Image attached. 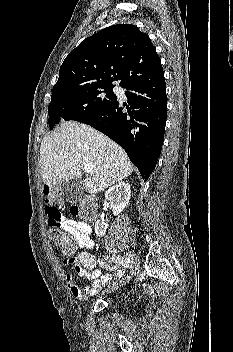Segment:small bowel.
<instances>
[{"label":"small bowel","mask_w":233,"mask_h":352,"mask_svg":"<svg viewBox=\"0 0 233 352\" xmlns=\"http://www.w3.org/2000/svg\"><path fill=\"white\" fill-rule=\"evenodd\" d=\"M44 193L50 197L52 190L45 186ZM44 210L48 225L56 226L70 234L77 247L83 249H92L94 247V240L91 235L92 228L88 223L62 214L50 200L46 203ZM97 263L99 267H95V259L87 251L79 253L76 259L66 258L64 260V265L68 268L65 274V281L75 298L87 300L96 295L102 286L108 283H115L122 277V269L110 266L102 259L97 260ZM103 269L111 271V273L103 274ZM73 272H76L81 277L90 279L91 284L84 290L80 289L74 280Z\"/></svg>","instance_id":"obj_1"}]
</instances>
